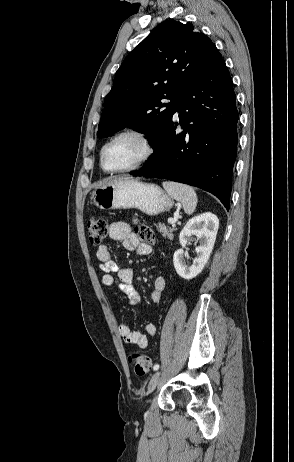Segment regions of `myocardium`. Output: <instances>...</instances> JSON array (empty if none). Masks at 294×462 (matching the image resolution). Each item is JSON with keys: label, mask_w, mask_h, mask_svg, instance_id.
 Here are the masks:
<instances>
[{"label": "myocardium", "mask_w": 294, "mask_h": 462, "mask_svg": "<svg viewBox=\"0 0 294 462\" xmlns=\"http://www.w3.org/2000/svg\"><path fill=\"white\" fill-rule=\"evenodd\" d=\"M123 136H133L139 139L144 146V152L136 162H134L132 165L128 167L116 169V170L107 169L104 166V152L111 143H113L115 140ZM155 152H156V145H155L153 136L150 132L144 129L135 128V127L125 128V129L118 131L116 134H114L101 147L100 155H99L100 156V166L103 169V171L107 173H111V174L135 171L145 166L152 159Z\"/></svg>", "instance_id": "myocardium-1"}]
</instances>
